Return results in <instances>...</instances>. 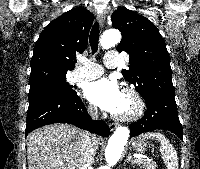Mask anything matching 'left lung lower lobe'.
<instances>
[{
    "label": "left lung lower lobe",
    "mask_w": 200,
    "mask_h": 169,
    "mask_svg": "<svg viewBox=\"0 0 200 169\" xmlns=\"http://www.w3.org/2000/svg\"><path fill=\"white\" fill-rule=\"evenodd\" d=\"M145 101L147 110L143 118L130 125L131 136L161 129L171 131L183 140L174 96L150 94Z\"/></svg>",
    "instance_id": "obj_1"
}]
</instances>
